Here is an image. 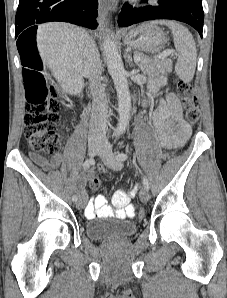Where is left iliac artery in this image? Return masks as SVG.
Wrapping results in <instances>:
<instances>
[{
  "instance_id": "44dca946",
  "label": "left iliac artery",
  "mask_w": 227,
  "mask_h": 298,
  "mask_svg": "<svg viewBox=\"0 0 227 298\" xmlns=\"http://www.w3.org/2000/svg\"><path fill=\"white\" fill-rule=\"evenodd\" d=\"M127 154L126 153H117V155H116V158L119 160V161H124V160H126L127 159ZM143 185H144V187H146V188H149V181H148V179L146 178V177H144L143 178Z\"/></svg>"
}]
</instances>
